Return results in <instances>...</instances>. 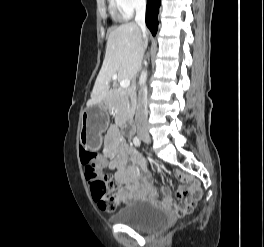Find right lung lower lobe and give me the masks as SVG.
<instances>
[{
  "label": "right lung lower lobe",
  "mask_w": 264,
  "mask_h": 247,
  "mask_svg": "<svg viewBox=\"0 0 264 247\" xmlns=\"http://www.w3.org/2000/svg\"><path fill=\"white\" fill-rule=\"evenodd\" d=\"M159 6L160 0H147L146 25L153 35L157 32Z\"/></svg>",
  "instance_id": "98d812e1"
}]
</instances>
